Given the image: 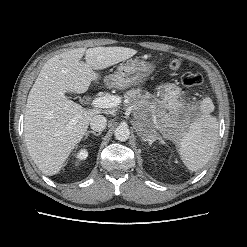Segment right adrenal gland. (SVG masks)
Masks as SVG:
<instances>
[{"instance_id":"1","label":"right adrenal gland","mask_w":247,"mask_h":247,"mask_svg":"<svg viewBox=\"0 0 247 247\" xmlns=\"http://www.w3.org/2000/svg\"><path fill=\"white\" fill-rule=\"evenodd\" d=\"M89 134H93V135H95V136H99V135L101 134V132L96 133L95 131H88V132H86V134H85V135H86V136H85V139L88 138Z\"/></svg>"}]
</instances>
